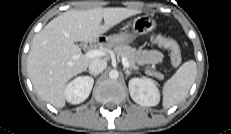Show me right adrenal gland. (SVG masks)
Returning a JSON list of instances; mask_svg holds the SVG:
<instances>
[{
    "label": "right adrenal gland",
    "instance_id": "2a0ac1e0",
    "mask_svg": "<svg viewBox=\"0 0 231 134\" xmlns=\"http://www.w3.org/2000/svg\"><path fill=\"white\" fill-rule=\"evenodd\" d=\"M88 73H89L90 75H92L93 77H97V74H92V73L89 72V71H88Z\"/></svg>",
    "mask_w": 231,
    "mask_h": 134
}]
</instances>
